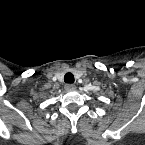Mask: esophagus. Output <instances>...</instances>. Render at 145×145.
I'll list each match as a JSON object with an SVG mask.
<instances>
[{"label": "esophagus", "mask_w": 145, "mask_h": 145, "mask_svg": "<svg viewBox=\"0 0 145 145\" xmlns=\"http://www.w3.org/2000/svg\"><path fill=\"white\" fill-rule=\"evenodd\" d=\"M65 89L68 91L75 90L76 86L74 84H66Z\"/></svg>", "instance_id": "34e87169"}]
</instances>
